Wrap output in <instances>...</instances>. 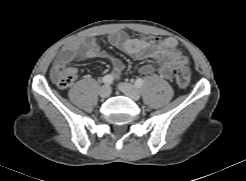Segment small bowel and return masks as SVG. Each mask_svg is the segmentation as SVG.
<instances>
[{
	"mask_svg": "<svg viewBox=\"0 0 246 181\" xmlns=\"http://www.w3.org/2000/svg\"><path fill=\"white\" fill-rule=\"evenodd\" d=\"M108 43L136 59H150L158 65V74L163 79H171L174 69L181 63H187L178 48V41L174 38H131L122 33H112L108 36ZM83 57L108 59L113 67V74L118 76L124 71V64L118 57L105 51L92 36H83L72 40L65 46L54 67L66 65ZM75 70V69H74ZM155 72L152 64L141 66L140 73L150 75Z\"/></svg>",
	"mask_w": 246,
	"mask_h": 181,
	"instance_id": "c3829d8e",
	"label": "small bowel"
}]
</instances>
